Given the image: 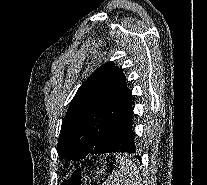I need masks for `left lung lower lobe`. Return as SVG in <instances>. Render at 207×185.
I'll use <instances>...</instances> for the list:
<instances>
[{"label":"left lung lower lobe","mask_w":207,"mask_h":185,"mask_svg":"<svg viewBox=\"0 0 207 185\" xmlns=\"http://www.w3.org/2000/svg\"><path fill=\"white\" fill-rule=\"evenodd\" d=\"M132 116L133 107L115 127L112 134L108 138L103 151L100 154L112 152H136V146L134 143V131L132 130Z\"/></svg>","instance_id":"0a47b994"}]
</instances>
